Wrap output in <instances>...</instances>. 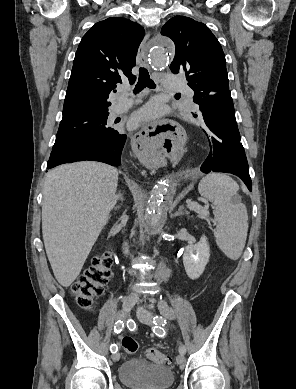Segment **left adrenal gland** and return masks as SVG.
Wrapping results in <instances>:
<instances>
[{
  "instance_id": "1",
  "label": "left adrenal gland",
  "mask_w": 296,
  "mask_h": 389,
  "mask_svg": "<svg viewBox=\"0 0 296 389\" xmlns=\"http://www.w3.org/2000/svg\"><path fill=\"white\" fill-rule=\"evenodd\" d=\"M183 209H184V206H180L179 208H178V210L174 213V217H177V216H181V215H184L185 214V212L183 211Z\"/></svg>"
}]
</instances>
